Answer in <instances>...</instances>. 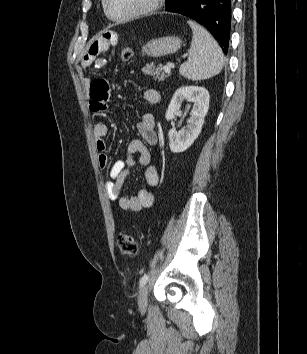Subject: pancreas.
<instances>
[{
  "label": "pancreas",
  "mask_w": 307,
  "mask_h": 354,
  "mask_svg": "<svg viewBox=\"0 0 307 354\" xmlns=\"http://www.w3.org/2000/svg\"><path fill=\"white\" fill-rule=\"evenodd\" d=\"M142 71L148 77H152L154 81H162L167 77L164 74L163 67L161 65L158 66H155L154 64L146 65Z\"/></svg>",
  "instance_id": "obj_1"
}]
</instances>
